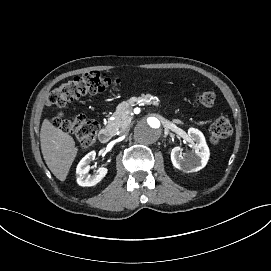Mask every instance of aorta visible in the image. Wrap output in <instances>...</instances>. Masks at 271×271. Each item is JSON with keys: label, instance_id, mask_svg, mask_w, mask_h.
<instances>
[{"label": "aorta", "instance_id": "1", "mask_svg": "<svg viewBox=\"0 0 271 271\" xmlns=\"http://www.w3.org/2000/svg\"><path fill=\"white\" fill-rule=\"evenodd\" d=\"M162 134L160 121L156 117L140 120L134 128V139L140 144H153Z\"/></svg>", "mask_w": 271, "mask_h": 271}]
</instances>
